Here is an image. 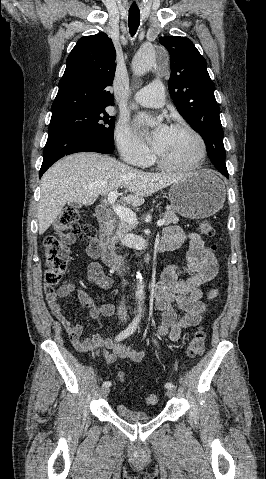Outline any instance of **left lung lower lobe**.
Instances as JSON below:
<instances>
[{
    "label": "left lung lower lobe",
    "instance_id": "left-lung-lower-lobe-1",
    "mask_svg": "<svg viewBox=\"0 0 266 479\" xmlns=\"http://www.w3.org/2000/svg\"><path fill=\"white\" fill-rule=\"evenodd\" d=\"M220 172H221L225 177L229 178V176H228V171L222 170V171H220Z\"/></svg>",
    "mask_w": 266,
    "mask_h": 479
}]
</instances>
